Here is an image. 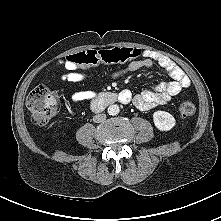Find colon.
<instances>
[{
    "instance_id": "1",
    "label": "colon",
    "mask_w": 221,
    "mask_h": 221,
    "mask_svg": "<svg viewBox=\"0 0 221 221\" xmlns=\"http://www.w3.org/2000/svg\"><path fill=\"white\" fill-rule=\"evenodd\" d=\"M141 54L137 48H113L106 50L88 49L67 57L70 68L93 67L101 63L120 64L136 60ZM27 107L32 119L37 125H44L58 112L59 96L56 92L43 85L35 87L27 98ZM183 117L193 116L196 107L190 102H183L179 106Z\"/></svg>"
}]
</instances>
